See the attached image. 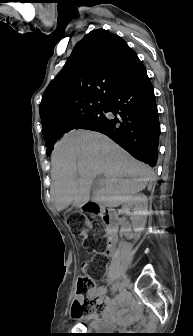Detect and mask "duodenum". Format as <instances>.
<instances>
[{
    "label": "duodenum",
    "mask_w": 193,
    "mask_h": 336,
    "mask_svg": "<svg viewBox=\"0 0 193 336\" xmlns=\"http://www.w3.org/2000/svg\"><path fill=\"white\" fill-rule=\"evenodd\" d=\"M86 208L96 212L98 207L95 204H87ZM102 218L105 221L107 229V245H106V254L112 256L115 251V242H116V232L119 227V217L113 211H104L101 213Z\"/></svg>",
    "instance_id": "duodenum-1"
}]
</instances>
